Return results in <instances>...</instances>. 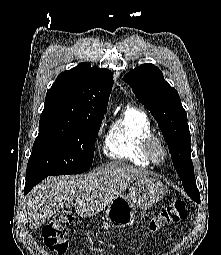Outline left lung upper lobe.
I'll use <instances>...</instances> for the list:
<instances>
[{
    "label": "left lung upper lobe",
    "instance_id": "left-lung-upper-lobe-1",
    "mask_svg": "<svg viewBox=\"0 0 221 255\" xmlns=\"http://www.w3.org/2000/svg\"><path fill=\"white\" fill-rule=\"evenodd\" d=\"M123 80L135 96L150 110L168 144L173 165L182 180L184 190L200 203L191 160V136L179 94L153 64L146 63L128 72Z\"/></svg>",
    "mask_w": 221,
    "mask_h": 255
}]
</instances>
